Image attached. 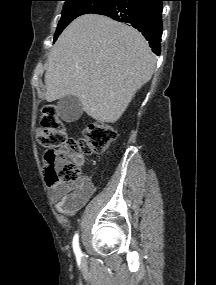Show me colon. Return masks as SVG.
Masks as SVG:
<instances>
[{
    "label": "colon",
    "instance_id": "1",
    "mask_svg": "<svg viewBox=\"0 0 216 285\" xmlns=\"http://www.w3.org/2000/svg\"><path fill=\"white\" fill-rule=\"evenodd\" d=\"M116 139L110 125L92 122L84 129V137H67L65 125L54 106L43 109L37 140L49 150L45 154V176L49 185L74 183L80 179L78 158L82 155L101 154Z\"/></svg>",
    "mask_w": 216,
    "mask_h": 285
}]
</instances>
